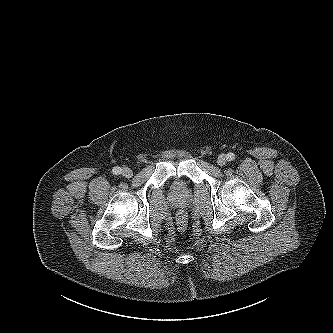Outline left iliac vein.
I'll return each instance as SVG.
<instances>
[{"label": "left iliac vein", "instance_id": "4c4485c4", "mask_svg": "<svg viewBox=\"0 0 333 333\" xmlns=\"http://www.w3.org/2000/svg\"><path fill=\"white\" fill-rule=\"evenodd\" d=\"M227 162V156L225 154L219 155L217 159V163L219 166H224Z\"/></svg>", "mask_w": 333, "mask_h": 333}]
</instances>
